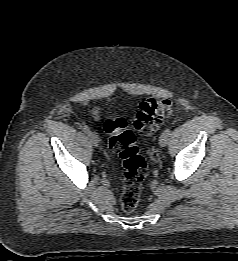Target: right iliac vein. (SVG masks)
Returning <instances> with one entry per match:
<instances>
[{"label": "right iliac vein", "mask_w": 238, "mask_h": 261, "mask_svg": "<svg viewBox=\"0 0 238 261\" xmlns=\"http://www.w3.org/2000/svg\"><path fill=\"white\" fill-rule=\"evenodd\" d=\"M88 137H89V140L92 143V145L94 147H98V145H99L98 135L95 132H89Z\"/></svg>", "instance_id": "right-iliac-vein-1"}]
</instances>
